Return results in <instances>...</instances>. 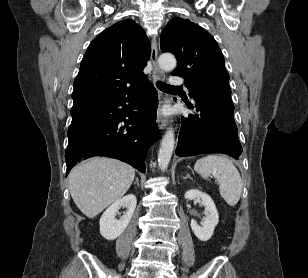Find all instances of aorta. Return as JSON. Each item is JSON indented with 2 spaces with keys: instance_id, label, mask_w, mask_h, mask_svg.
<instances>
[{
  "instance_id": "762f6f07",
  "label": "aorta",
  "mask_w": 308,
  "mask_h": 278,
  "mask_svg": "<svg viewBox=\"0 0 308 278\" xmlns=\"http://www.w3.org/2000/svg\"><path fill=\"white\" fill-rule=\"evenodd\" d=\"M159 67L163 71H171L176 67V59L170 53H164L160 55L158 59ZM175 144V135L172 128H168L164 134L159 152H158V164L162 171H165L168 167L170 159L173 154Z\"/></svg>"
}]
</instances>
